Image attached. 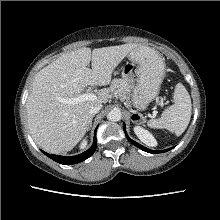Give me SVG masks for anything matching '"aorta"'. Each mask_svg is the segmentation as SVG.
Masks as SVG:
<instances>
[{
    "label": "aorta",
    "instance_id": "aorta-1",
    "mask_svg": "<svg viewBox=\"0 0 220 220\" xmlns=\"http://www.w3.org/2000/svg\"><path fill=\"white\" fill-rule=\"evenodd\" d=\"M121 117H122L121 111L118 109L111 110L107 115L108 120L112 122H117L121 120Z\"/></svg>",
    "mask_w": 220,
    "mask_h": 220
}]
</instances>
